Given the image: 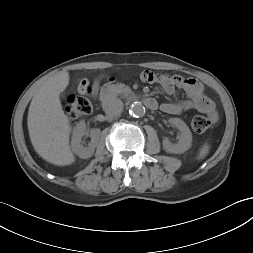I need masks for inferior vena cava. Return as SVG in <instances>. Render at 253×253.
I'll return each instance as SVG.
<instances>
[{
  "label": "inferior vena cava",
  "instance_id": "inferior-vena-cava-1",
  "mask_svg": "<svg viewBox=\"0 0 253 253\" xmlns=\"http://www.w3.org/2000/svg\"><path fill=\"white\" fill-rule=\"evenodd\" d=\"M123 107V102L118 98H112L103 105L105 113L111 116H119Z\"/></svg>",
  "mask_w": 253,
  "mask_h": 253
}]
</instances>
